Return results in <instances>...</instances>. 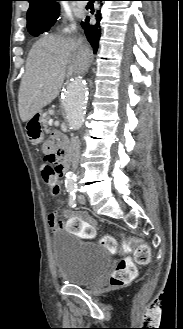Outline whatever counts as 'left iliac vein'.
Instances as JSON below:
<instances>
[{
	"label": "left iliac vein",
	"instance_id": "1",
	"mask_svg": "<svg viewBox=\"0 0 183 329\" xmlns=\"http://www.w3.org/2000/svg\"><path fill=\"white\" fill-rule=\"evenodd\" d=\"M85 202H86L85 197L83 195H79L78 196V203L85 204Z\"/></svg>",
	"mask_w": 183,
	"mask_h": 329
}]
</instances>
